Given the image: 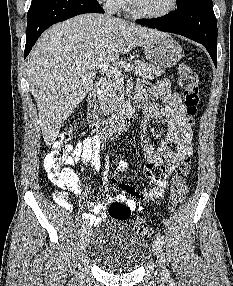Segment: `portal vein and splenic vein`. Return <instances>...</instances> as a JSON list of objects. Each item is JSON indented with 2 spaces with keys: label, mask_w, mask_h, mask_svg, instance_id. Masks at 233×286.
<instances>
[{
  "label": "portal vein and splenic vein",
  "mask_w": 233,
  "mask_h": 286,
  "mask_svg": "<svg viewBox=\"0 0 233 286\" xmlns=\"http://www.w3.org/2000/svg\"><path fill=\"white\" fill-rule=\"evenodd\" d=\"M95 67H98V68L102 69L108 75H110L111 77L115 78L118 81H122L123 78H124L122 73H121V71H119L117 68L111 66L110 64L103 62L102 59L92 60L91 62L85 63L82 66V69L95 68ZM136 74H138V75L141 74V70L140 69H136Z\"/></svg>",
  "instance_id": "obj_1"
}]
</instances>
